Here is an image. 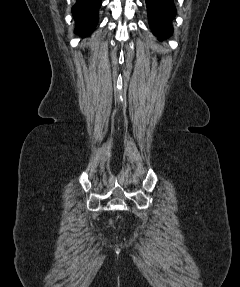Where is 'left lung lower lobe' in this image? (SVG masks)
<instances>
[{"label":"left lung lower lobe","instance_id":"1","mask_svg":"<svg viewBox=\"0 0 240 287\" xmlns=\"http://www.w3.org/2000/svg\"><path fill=\"white\" fill-rule=\"evenodd\" d=\"M149 23L159 38L172 34L171 21L176 15L173 0H146Z\"/></svg>","mask_w":240,"mask_h":287}]
</instances>
